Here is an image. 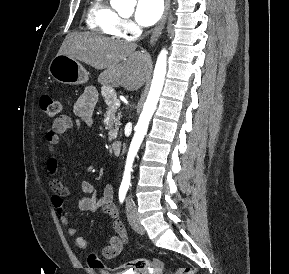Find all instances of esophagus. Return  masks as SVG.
<instances>
[{"mask_svg": "<svg viewBox=\"0 0 289 274\" xmlns=\"http://www.w3.org/2000/svg\"><path fill=\"white\" fill-rule=\"evenodd\" d=\"M169 10H170V0H165V11H164V14H163L161 20L159 21V23L156 25V27L152 31V35H151L150 42H149L150 47H153L155 45L158 37L160 36V34H161V32L165 26Z\"/></svg>", "mask_w": 289, "mask_h": 274, "instance_id": "obj_1", "label": "esophagus"}]
</instances>
